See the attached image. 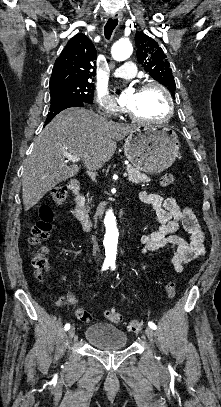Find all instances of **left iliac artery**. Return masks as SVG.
Here are the masks:
<instances>
[{
	"instance_id": "1",
	"label": "left iliac artery",
	"mask_w": 221,
	"mask_h": 407,
	"mask_svg": "<svg viewBox=\"0 0 221 407\" xmlns=\"http://www.w3.org/2000/svg\"><path fill=\"white\" fill-rule=\"evenodd\" d=\"M115 267H116V266H115L114 263L111 264V268H112V269H115ZM148 325H149V327H151L152 329H154V330L156 329V325H155L153 322H151V321L148 322Z\"/></svg>"
}]
</instances>
